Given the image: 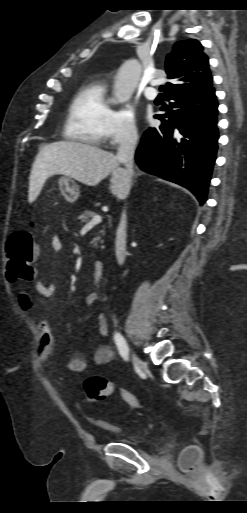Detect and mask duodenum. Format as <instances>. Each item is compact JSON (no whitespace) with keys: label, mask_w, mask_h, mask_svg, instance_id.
<instances>
[{"label":"duodenum","mask_w":247,"mask_h":513,"mask_svg":"<svg viewBox=\"0 0 247 513\" xmlns=\"http://www.w3.org/2000/svg\"><path fill=\"white\" fill-rule=\"evenodd\" d=\"M105 274V263L103 261H96L94 263L92 280L94 282H100Z\"/></svg>","instance_id":"410a0bca"}]
</instances>
